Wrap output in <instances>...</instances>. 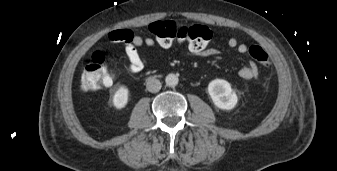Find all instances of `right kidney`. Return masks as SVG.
<instances>
[{
  "instance_id": "ca27d5eb",
  "label": "right kidney",
  "mask_w": 337,
  "mask_h": 171,
  "mask_svg": "<svg viewBox=\"0 0 337 171\" xmlns=\"http://www.w3.org/2000/svg\"><path fill=\"white\" fill-rule=\"evenodd\" d=\"M128 93V88L124 86L118 88L112 100L114 107H116L117 109L124 108L128 102Z\"/></svg>"
}]
</instances>
